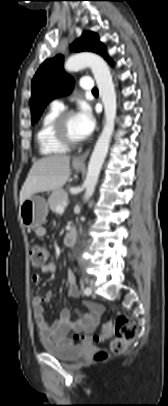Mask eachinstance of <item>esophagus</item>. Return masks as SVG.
<instances>
[{
    "mask_svg": "<svg viewBox=\"0 0 168 406\" xmlns=\"http://www.w3.org/2000/svg\"><path fill=\"white\" fill-rule=\"evenodd\" d=\"M91 151V148L87 149L85 152H83L82 154L76 156L74 158V162L78 163V164H84L85 160L87 159V157L89 156Z\"/></svg>",
    "mask_w": 168,
    "mask_h": 406,
    "instance_id": "obj_1",
    "label": "esophagus"
}]
</instances>
